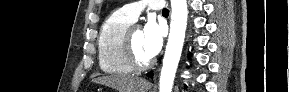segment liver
<instances>
[{
	"label": "liver",
	"instance_id": "liver-1",
	"mask_svg": "<svg viewBox=\"0 0 289 92\" xmlns=\"http://www.w3.org/2000/svg\"><path fill=\"white\" fill-rule=\"evenodd\" d=\"M92 82L112 87L119 92H146L150 88L149 83L144 79L123 75L98 77Z\"/></svg>",
	"mask_w": 289,
	"mask_h": 92
}]
</instances>
